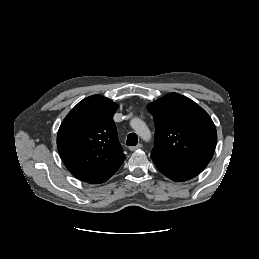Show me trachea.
I'll use <instances>...</instances> for the list:
<instances>
[{"mask_svg":"<svg viewBox=\"0 0 259 259\" xmlns=\"http://www.w3.org/2000/svg\"><path fill=\"white\" fill-rule=\"evenodd\" d=\"M127 146H135L138 143V136L136 133H130L127 136Z\"/></svg>","mask_w":259,"mask_h":259,"instance_id":"obj_1","label":"trachea"}]
</instances>
